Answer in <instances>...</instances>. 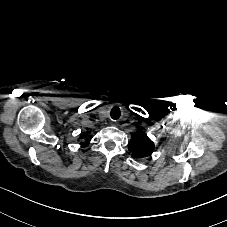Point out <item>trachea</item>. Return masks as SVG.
Wrapping results in <instances>:
<instances>
[{"instance_id":"obj_1","label":"trachea","mask_w":227,"mask_h":227,"mask_svg":"<svg viewBox=\"0 0 227 227\" xmlns=\"http://www.w3.org/2000/svg\"><path fill=\"white\" fill-rule=\"evenodd\" d=\"M111 118L113 120H118L120 118V115H121V111H120V108L118 106H114L112 109H111Z\"/></svg>"}]
</instances>
